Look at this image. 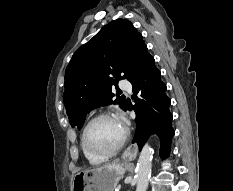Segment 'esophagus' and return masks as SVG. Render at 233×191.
<instances>
[{
  "label": "esophagus",
  "instance_id": "1",
  "mask_svg": "<svg viewBox=\"0 0 233 191\" xmlns=\"http://www.w3.org/2000/svg\"><path fill=\"white\" fill-rule=\"evenodd\" d=\"M137 152V146L136 145H131L126 149V151L123 153V157H134Z\"/></svg>",
  "mask_w": 233,
  "mask_h": 191
}]
</instances>
